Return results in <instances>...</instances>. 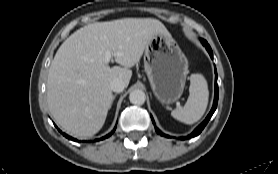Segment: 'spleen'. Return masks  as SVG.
Returning <instances> with one entry per match:
<instances>
[{
	"instance_id": "3e777b00",
	"label": "spleen",
	"mask_w": 278,
	"mask_h": 174,
	"mask_svg": "<svg viewBox=\"0 0 278 174\" xmlns=\"http://www.w3.org/2000/svg\"><path fill=\"white\" fill-rule=\"evenodd\" d=\"M189 97L184 107H178L171 112V116L185 124L197 122L205 113L209 91L207 81L201 74L190 76Z\"/></svg>"
}]
</instances>
